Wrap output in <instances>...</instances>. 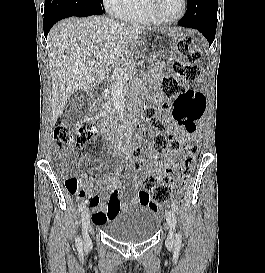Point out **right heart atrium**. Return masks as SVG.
Listing matches in <instances>:
<instances>
[{"label": "right heart atrium", "instance_id": "1", "mask_svg": "<svg viewBox=\"0 0 265 273\" xmlns=\"http://www.w3.org/2000/svg\"><path fill=\"white\" fill-rule=\"evenodd\" d=\"M128 0H103L104 8L108 13L118 16L120 11L125 7Z\"/></svg>", "mask_w": 265, "mask_h": 273}]
</instances>
